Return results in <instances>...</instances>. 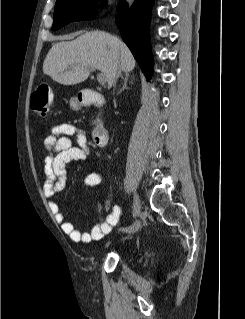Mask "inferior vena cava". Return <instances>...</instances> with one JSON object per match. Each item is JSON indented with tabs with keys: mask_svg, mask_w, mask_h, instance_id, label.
I'll use <instances>...</instances> for the list:
<instances>
[{
	"mask_svg": "<svg viewBox=\"0 0 245 319\" xmlns=\"http://www.w3.org/2000/svg\"><path fill=\"white\" fill-rule=\"evenodd\" d=\"M121 75V70L120 69H118L117 71H116V73L114 74V78H113V84L114 85H116V81H117V79H118V77Z\"/></svg>",
	"mask_w": 245,
	"mask_h": 319,
	"instance_id": "obj_1",
	"label": "inferior vena cava"
}]
</instances>
